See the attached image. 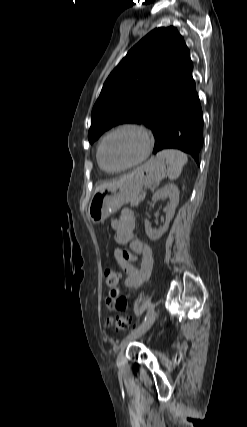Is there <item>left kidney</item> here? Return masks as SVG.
I'll return each mask as SVG.
<instances>
[{
  "label": "left kidney",
  "instance_id": "5707ae66",
  "mask_svg": "<svg viewBox=\"0 0 247 427\" xmlns=\"http://www.w3.org/2000/svg\"><path fill=\"white\" fill-rule=\"evenodd\" d=\"M169 198L170 202L166 207V221L165 224L159 229H153L149 223V221L145 220V232L150 240H158L162 237V235L168 230L169 223L174 217L176 207L179 203V189L176 184L169 183L164 187L160 188L155 192L152 197V201L156 202L163 198Z\"/></svg>",
  "mask_w": 247,
  "mask_h": 427
}]
</instances>
